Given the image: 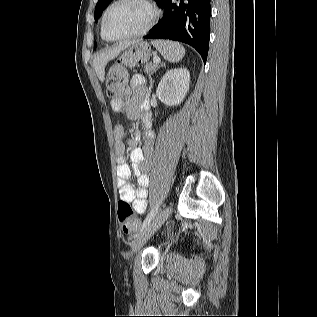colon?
Instances as JSON below:
<instances>
[{"mask_svg":"<svg viewBox=\"0 0 317 317\" xmlns=\"http://www.w3.org/2000/svg\"><path fill=\"white\" fill-rule=\"evenodd\" d=\"M128 72L122 63L113 64L106 77V90L110 97L118 98L128 91ZM118 219L125 233H133L139 227V220L134 216L131 205L126 201L118 203Z\"/></svg>","mask_w":317,"mask_h":317,"instance_id":"colon-1","label":"colon"}]
</instances>
